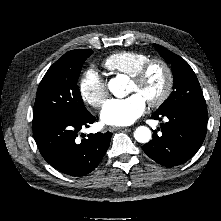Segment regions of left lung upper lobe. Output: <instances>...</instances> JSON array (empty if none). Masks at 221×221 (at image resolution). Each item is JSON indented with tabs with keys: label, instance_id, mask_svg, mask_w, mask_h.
Wrapping results in <instances>:
<instances>
[{
	"label": "left lung upper lobe",
	"instance_id": "left-lung-upper-lobe-1",
	"mask_svg": "<svg viewBox=\"0 0 221 221\" xmlns=\"http://www.w3.org/2000/svg\"><path fill=\"white\" fill-rule=\"evenodd\" d=\"M160 55L172 65L174 86L171 95L157 109L163 113L183 106H206L198 79L189 64L168 49L154 44Z\"/></svg>",
	"mask_w": 221,
	"mask_h": 221
}]
</instances>
